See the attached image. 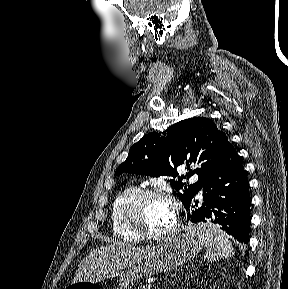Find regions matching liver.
Instances as JSON below:
<instances>
[{
  "mask_svg": "<svg viewBox=\"0 0 288 289\" xmlns=\"http://www.w3.org/2000/svg\"><path fill=\"white\" fill-rule=\"evenodd\" d=\"M154 247L135 248L111 244L93 250L78 265L73 282L93 280L141 262L153 253Z\"/></svg>",
  "mask_w": 288,
  "mask_h": 289,
  "instance_id": "liver-1",
  "label": "liver"
}]
</instances>
